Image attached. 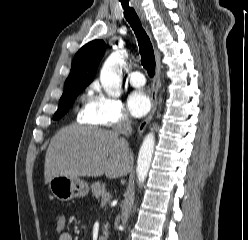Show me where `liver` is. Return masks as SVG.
Masks as SVG:
<instances>
[{
	"mask_svg": "<svg viewBox=\"0 0 248 240\" xmlns=\"http://www.w3.org/2000/svg\"><path fill=\"white\" fill-rule=\"evenodd\" d=\"M133 154L125 139L114 131L70 125L52 138L45 156V183L56 176L70 178L126 176Z\"/></svg>",
	"mask_w": 248,
	"mask_h": 240,
	"instance_id": "obj_1",
	"label": "liver"
}]
</instances>
